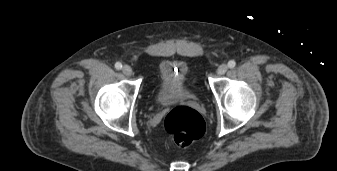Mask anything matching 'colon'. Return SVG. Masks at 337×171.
I'll use <instances>...</instances> for the list:
<instances>
[{"label":"colon","mask_w":337,"mask_h":171,"mask_svg":"<svg viewBox=\"0 0 337 171\" xmlns=\"http://www.w3.org/2000/svg\"><path fill=\"white\" fill-rule=\"evenodd\" d=\"M164 131L180 146H187L205 133V121L195 110L188 107L173 109L164 119Z\"/></svg>","instance_id":"5ec220e1"}]
</instances>
